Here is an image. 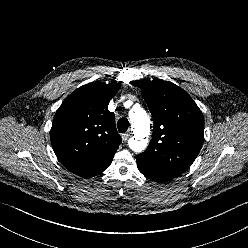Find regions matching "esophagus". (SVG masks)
I'll list each match as a JSON object with an SVG mask.
<instances>
[{"mask_svg":"<svg viewBox=\"0 0 248 248\" xmlns=\"http://www.w3.org/2000/svg\"><path fill=\"white\" fill-rule=\"evenodd\" d=\"M129 137H130V134L129 133L122 134L123 141H127L129 139Z\"/></svg>","mask_w":248,"mask_h":248,"instance_id":"esophagus-1","label":"esophagus"}]
</instances>
